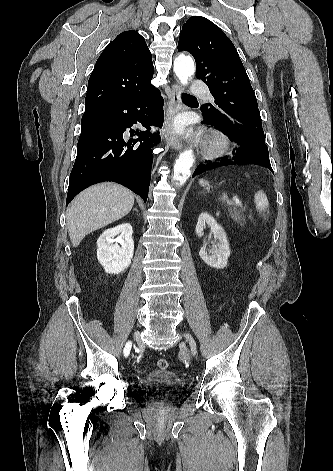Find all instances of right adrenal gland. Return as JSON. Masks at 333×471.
I'll list each match as a JSON object with an SVG mask.
<instances>
[{
  "instance_id": "right-adrenal-gland-1",
  "label": "right adrenal gland",
  "mask_w": 333,
  "mask_h": 471,
  "mask_svg": "<svg viewBox=\"0 0 333 471\" xmlns=\"http://www.w3.org/2000/svg\"><path fill=\"white\" fill-rule=\"evenodd\" d=\"M133 211H136V212H138L137 208H134V209H133Z\"/></svg>"
}]
</instances>
